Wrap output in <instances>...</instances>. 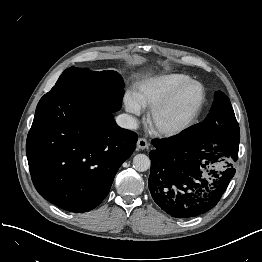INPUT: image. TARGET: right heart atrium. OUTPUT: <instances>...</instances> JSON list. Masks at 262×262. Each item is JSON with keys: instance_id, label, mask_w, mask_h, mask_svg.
Masks as SVG:
<instances>
[{"instance_id": "obj_1", "label": "right heart atrium", "mask_w": 262, "mask_h": 262, "mask_svg": "<svg viewBox=\"0 0 262 262\" xmlns=\"http://www.w3.org/2000/svg\"><path fill=\"white\" fill-rule=\"evenodd\" d=\"M124 104L126 110L132 114H139L141 112V106L138 104L134 95L130 93L125 95Z\"/></svg>"}]
</instances>
